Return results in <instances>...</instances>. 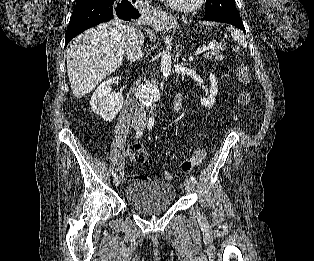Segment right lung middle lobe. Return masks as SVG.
Instances as JSON below:
<instances>
[{
  "label": "right lung middle lobe",
  "instance_id": "1",
  "mask_svg": "<svg viewBox=\"0 0 314 261\" xmlns=\"http://www.w3.org/2000/svg\"><path fill=\"white\" fill-rule=\"evenodd\" d=\"M85 1H87V0H77V4L83 3Z\"/></svg>",
  "mask_w": 314,
  "mask_h": 261
}]
</instances>
